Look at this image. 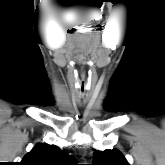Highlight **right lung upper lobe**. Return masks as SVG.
Masks as SVG:
<instances>
[{"mask_svg":"<svg viewBox=\"0 0 165 165\" xmlns=\"http://www.w3.org/2000/svg\"><path fill=\"white\" fill-rule=\"evenodd\" d=\"M20 165H77V163L73 156H69L55 145L37 144L25 155Z\"/></svg>","mask_w":165,"mask_h":165,"instance_id":"obj_1","label":"right lung upper lobe"}]
</instances>
